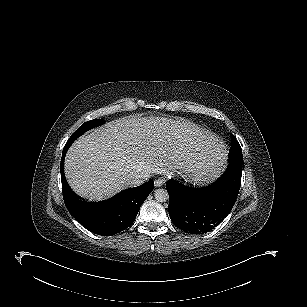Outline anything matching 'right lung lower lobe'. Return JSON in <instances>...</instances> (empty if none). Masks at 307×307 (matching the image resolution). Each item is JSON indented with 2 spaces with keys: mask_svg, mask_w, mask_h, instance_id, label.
Instances as JSON below:
<instances>
[{
  "mask_svg": "<svg viewBox=\"0 0 307 307\" xmlns=\"http://www.w3.org/2000/svg\"><path fill=\"white\" fill-rule=\"evenodd\" d=\"M70 145H65L60 167L62 192L66 206L71 215L86 229L101 236H111L128 228L136 215L153 191V181L140 186L126 189L112 198L101 202H86L79 199L67 185L63 162Z\"/></svg>",
  "mask_w": 307,
  "mask_h": 307,
  "instance_id": "1",
  "label": "right lung lower lobe"
}]
</instances>
